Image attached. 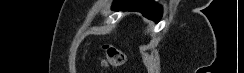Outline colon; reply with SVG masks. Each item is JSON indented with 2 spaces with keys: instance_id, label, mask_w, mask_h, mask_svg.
<instances>
[{
  "instance_id": "5ec220e1",
  "label": "colon",
  "mask_w": 244,
  "mask_h": 73,
  "mask_svg": "<svg viewBox=\"0 0 244 73\" xmlns=\"http://www.w3.org/2000/svg\"><path fill=\"white\" fill-rule=\"evenodd\" d=\"M104 55L100 57V66L103 69L121 67L126 62V55L116 45L106 43L103 46Z\"/></svg>"
}]
</instances>
